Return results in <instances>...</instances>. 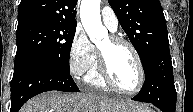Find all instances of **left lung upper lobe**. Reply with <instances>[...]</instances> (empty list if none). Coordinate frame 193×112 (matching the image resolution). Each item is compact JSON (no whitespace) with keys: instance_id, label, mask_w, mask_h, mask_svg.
Returning a JSON list of instances; mask_svg holds the SVG:
<instances>
[{"instance_id":"1","label":"left lung upper lobe","mask_w":193,"mask_h":112,"mask_svg":"<svg viewBox=\"0 0 193 112\" xmlns=\"http://www.w3.org/2000/svg\"><path fill=\"white\" fill-rule=\"evenodd\" d=\"M121 27L136 49L144 71L153 58L169 46L163 9L159 0H108Z\"/></svg>"}]
</instances>
